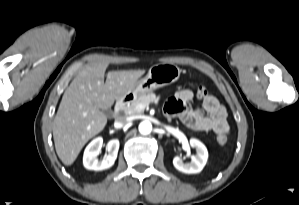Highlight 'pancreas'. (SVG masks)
<instances>
[{
  "label": "pancreas",
  "mask_w": 299,
  "mask_h": 205,
  "mask_svg": "<svg viewBox=\"0 0 299 205\" xmlns=\"http://www.w3.org/2000/svg\"><path fill=\"white\" fill-rule=\"evenodd\" d=\"M159 99L158 96H156L154 93H148L145 95H142L133 101H131L128 105L124 107V112L126 115H134L141 113L143 110L139 109V105H143L146 107L152 102H155Z\"/></svg>",
  "instance_id": "pancreas-1"
}]
</instances>
